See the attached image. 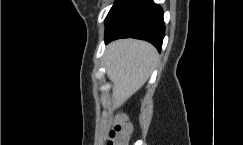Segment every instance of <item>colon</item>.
I'll list each match as a JSON object with an SVG mask.
<instances>
[{
  "mask_svg": "<svg viewBox=\"0 0 243 145\" xmlns=\"http://www.w3.org/2000/svg\"><path fill=\"white\" fill-rule=\"evenodd\" d=\"M132 133V125L123 115L119 116L115 127L111 130L106 145H126Z\"/></svg>",
  "mask_w": 243,
  "mask_h": 145,
  "instance_id": "colon-1",
  "label": "colon"
}]
</instances>
